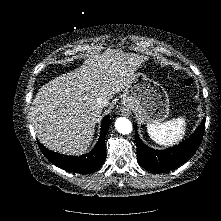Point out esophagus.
<instances>
[{
    "instance_id": "obj_1",
    "label": "esophagus",
    "mask_w": 221,
    "mask_h": 221,
    "mask_svg": "<svg viewBox=\"0 0 221 221\" xmlns=\"http://www.w3.org/2000/svg\"><path fill=\"white\" fill-rule=\"evenodd\" d=\"M122 113H124V114H129L130 113V111H129V109L128 108H126V107H123L122 108Z\"/></svg>"
}]
</instances>
